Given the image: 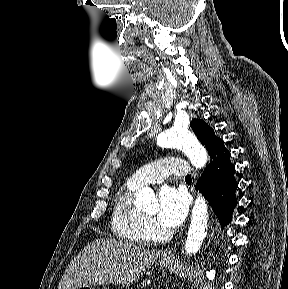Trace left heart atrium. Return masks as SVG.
I'll list each match as a JSON object with an SVG mask.
<instances>
[{
    "label": "left heart atrium",
    "instance_id": "39dd6f15",
    "mask_svg": "<svg viewBox=\"0 0 288 289\" xmlns=\"http://www.w3.org/2000/svg\"><path fill=\"white\" fill-rule=\"evenodd\" d=\"M187 213L186 195L179 189L165 186L159 192L158 222L168 228L178 227Z\"/></svg>",
    "mask_w": 288,
    "mask_h": 289
}]
</instances>
